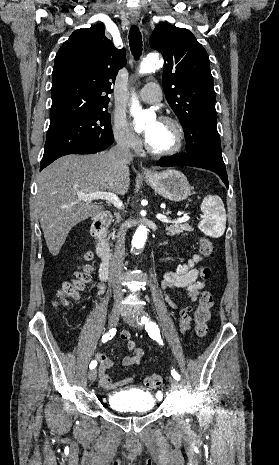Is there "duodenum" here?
<instances>
[{
    "label": "duodenum",
    "instance_id": "duodenum-1",
    "mask_svg": "<svg viewBox=\"0 0 279 465\" xmlns=\"http://www.w3.org/2000/svg\"><path fill=\"white\" fill-rule=\"evenodd\" d=\"M112 221L110 212H103L97 216L91 225V235L96 242V253L101 259L99 270L100 279L105 281L109 273L110 248L105 238L106 229Z\"/></svg>",
    "mask_w": 279,
    "mask_h": 465
}]
</instances>
